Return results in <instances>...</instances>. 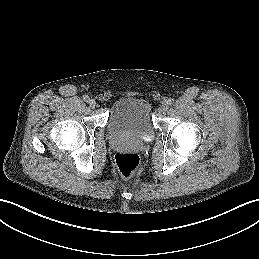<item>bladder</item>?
<instances>
[{"instance_id":"obj_1","label":"bladder","mask_w":259,"mask_h":259,"mask_svg":"<svg viewBox=\"0 0 259 259\" xmlns=\"http://www.w3.org/2000/svg\"><path fill=\"white\" fill-rule=\"evenodd\" d=\"M107 130L111 137L152 138L155 127L150 102L138 96L117 99L109 112Z\"/></svg>"}]
</instances>
